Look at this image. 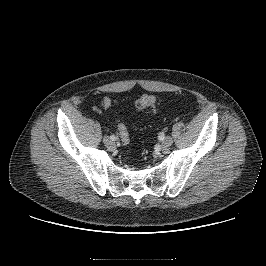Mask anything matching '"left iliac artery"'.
I'll use <instances>...</instances> for the list:
<instances>
[{
	"instance_id": "44dca946",
	"label": "left iliac artery",
	"mask_w": 266,
	"mask_h": 266,
	"mask_svg": "<svg viewBox=\"0 0 266 266\" xmlns=\"http://www.w3.org/2000/svg\"><path fill=\"white\" fill-rule=\"evenodd\" d=\"M165 135H166V132L165 131H162L161 133H159L157 135V141L159 143H162L164 141Z\"/></svg>"
}]
</instances>
